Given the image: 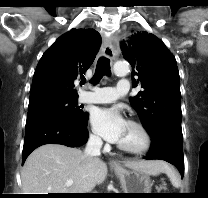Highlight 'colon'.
<instances>
[{
    "label": "colon",
    "mask_w": 208,
    "mask_h": 198,
    "mask_svg": "<svg viewBox=\"0 0 208 198\" xmlns=\"http://www.w3.org/2000/svg\"><path fill=\"white\" fill-rule=\"evenodd\" d=\"M158 189L159 190H165V187H159Z\"/></svg>",
    "instance_id": "5ec220e1"
}]
</instances>
